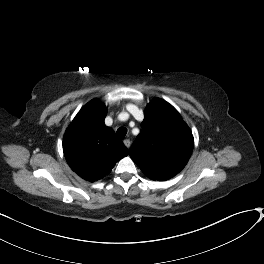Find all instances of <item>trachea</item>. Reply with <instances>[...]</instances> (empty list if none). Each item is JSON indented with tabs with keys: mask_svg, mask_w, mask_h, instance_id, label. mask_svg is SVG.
Listing matches in <instances>:
<instances>
[{
	"mask_svg": "<svg viewBox=\"0 0 264 264\" xmlns=\"http://www.w3.org/2000/svg\"><path fill=\"white\" fill-rule=\"evenodd\" d=\"M127 134V129L125 127H120L118 130H117V135L119 138H124Z\"/></svg>",
	"mask_w": 264,
	"mask_h": 264,
	"instance_id": "trachea-1",
	"label": "trachea"
}]
</instances>
